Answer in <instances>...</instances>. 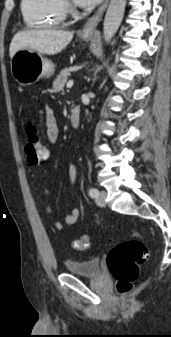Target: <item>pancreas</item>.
Segmentation results:
<instances>
[{
  "mask_svg": "<svg viewBox=\"0 0 171 337\" xmlns=\"http://www.w3.org/2000/svg\"><path fill=\"white\" fill-rule=\"evenodd\" d=\"M69 69L65 68L63 69L60 74L56 77V79L53 82V89L52 92L58 93L63 90L64 85L68 79L69 76Z\"/></svg>",
  "mask_w": 171,
  "mask_h": 337,
  "instance_id": "pancreas-1",
  "label": "pancreas"
}]
</instances>
